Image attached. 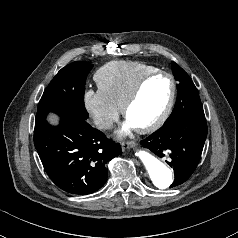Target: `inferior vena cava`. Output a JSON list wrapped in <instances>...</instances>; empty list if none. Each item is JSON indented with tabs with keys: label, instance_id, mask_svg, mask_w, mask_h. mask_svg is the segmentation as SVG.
I'll use <instances>...</instances> for the list:
<instances>
[{
	"label": "inferior vena cava",
	"instance_id": "602c4592",
	"mask_svg": "<svg viewBox=\"0 0 238 238\" xmlns=\"http://www.w3.org/2000/svg\"><path fill=\"white\" fill-rule=\"evenodd\" d=\"M95 124L100 129H110L113 127V121L109 118L98 117L95 119Z\"/></svg>",
	"mask_w": 238,
	"mask_h": 238
}]
</instances>
